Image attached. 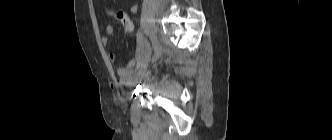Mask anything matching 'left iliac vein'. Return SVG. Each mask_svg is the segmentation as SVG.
<instances>
[{
    "label": "left iliac vein",
    "instance_id": "left-iliac-vein-1",
    "mask_svg": "<svg viewBox=\"0 0 332 140\" xmlns=\"http://www.w3.org/2000/svg\"><path fill=\"white\" fill-rule=\"evenodd\" d=\"M163 53V47L160 43L157 44V47L154 51L152 62H156Z\"/></svg>",
    "mask_w": 332,
    "mask_h": 140
}]
</instances>
